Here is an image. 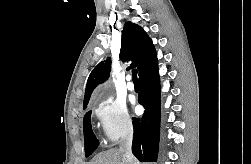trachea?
Here are the masks:
<instances>
[{
  "label": "trachea",
  "mask_w": 251,
  "mask_h": 164,
  "mask_svg": "<svg viewBox=\"0 0 251 164\" xmlns=\"http://www.w3.org/2000/svg\"><path fill=\"white\" fill-rule=\"evenodd\" d=\"M137 73H138L137 69L132 70V75H133V81L134 82H139V80L137 78Z\"/></svg>",
  "instance_id": "1"
}]
</instances>
